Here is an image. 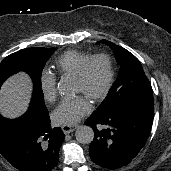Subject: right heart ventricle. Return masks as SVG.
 <instances>
[{
    "label": "right heart ventricle",
    "mask_w": 171,
    "mask_h": 171,
    "mask_svg": "<svg viewBox=\"0 0 171 171\" xmlns=\"http://www.w3.org/2000/svg\"><path fill=\"white\" fill-rule=\"evenodd\" d=\"M91 55L86 52L69 50L56 61V68L61 75L75 76Z\"/></svg>",
    "instance_id": "e07e8e85"
}]
</instances>
